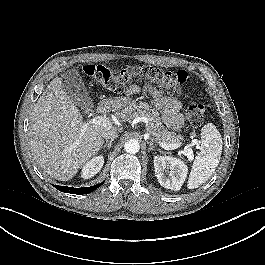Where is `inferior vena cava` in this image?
<instances>
[{"instance_id":"602c4592","label":"inferior vena cava","mask_w":265,"mask_h":265,"mask_svg":"<svg viewBox=\"0 0 265 265\" xmlns=\"http://www.w3.org/2000/svg\"><path fill=\"white\" fill-rule=\"evenodd\" d=\"M102 136L106 140H114L118 137V133L115 131H108L104 132Z\"/></svg>"}]
</instances>
